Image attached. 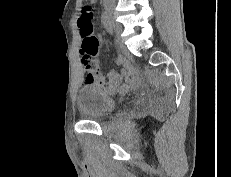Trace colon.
<instances>
[{
    "mask_svg": "<svg viewBox=\"0 0 231 177\" xmlns=\"http://www.w3.org/2000/svg\"><path fill=\"white\" fill-rule=\"evenodd\" d=\"M80 34L83 38L81 47L82 63L89 67L94 57L97 55L99 48V40L94 34L92 24V9L89 6L82 8L78 19Z\"/></svg>",
    "mask_w": 231,
    "mask_h": 177,
    "instance_id": "obj_1",
    "label": "colon"
}]
</instances>
